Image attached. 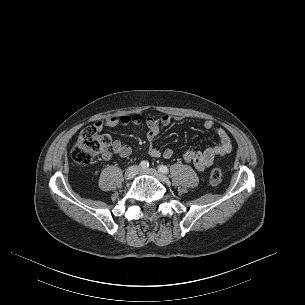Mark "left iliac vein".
Returning a JSON list of instances; mask_svg holds the SVG:
<instances>
[{
  "label": "left iliac vein",
  "instance_id": "left-iliac-vein-1",
  "mask_svg": "<svg viewBox=\"0 0 305 305\" xmlns=\"http://www.w3.org/2000/svg\"><path fill=\"white\" fill-rule=\"evenodd\" d=\"M138 174L141 175H151L153 177H155L156 179H158L159 181L163 182V183H168L169 179L162 173H160L159 171L149 168V169H139Z\"/></svg>",
  "mask_w": 305,
  "mask_h": 305
}]
</instances>
